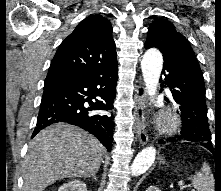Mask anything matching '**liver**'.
<instances>
[{
  "label": "liver",
  "instance_id": "obj_1",
  "mask_svg": "<svg viewBox=\"0 0 221 191\" xmlns=\"http://www.w3.org/2000/svg\"><path fill=\"white\" fill-rule=\"evenodd\" d=\"M106 150L97 138L76 126L57 123L37 134L23 163V191H43L68 177L99 170Z\"/></svg>",
  "mask_w": 221,
  "mask_h": 191
}]
</instances>
